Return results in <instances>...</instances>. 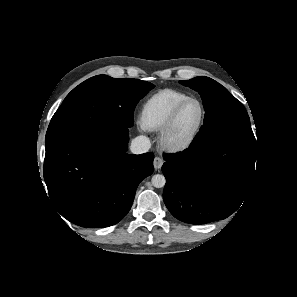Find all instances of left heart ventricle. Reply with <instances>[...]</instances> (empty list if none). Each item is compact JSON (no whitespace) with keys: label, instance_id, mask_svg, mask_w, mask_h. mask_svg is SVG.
I'll use <instances>...</instances> for the list:
<instances>
[{"label":"left heart ventricle","instance_id":"b2bd125f","mask_svg":"<svg viewBox=\"0 0 297 297\" xmlns=\"http://www.w3.org/2000/svg\"><path fill=\"white\" fill-rule=\"evenodd\" d=\"M201 114L202 111L197 102L187 104L176 121L171 139L175 142H181L187 139L197 127Z\"/></svg>","mask_w":297,"mask_h":297}]
</instances>
